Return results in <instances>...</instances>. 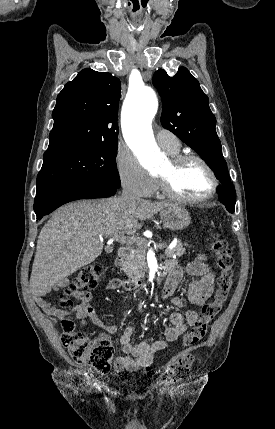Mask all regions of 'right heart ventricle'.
I'll return each mask as SVG.
<instances>
[{
	"label": "right heart ventricle",
	"mask_w": 275,
	"mask_h": 429,
	"mask_svg": "<svg viewBox=\"0 0 275 429\" xmlns=\"http://www.w3.org/2000/svg\"><path fill=\"white\" fill-rule=\"evenodd\" d=\"M169 154H171L172 156L173 155H176V154H178V151H174V152H168Z\"/></svg>",
	"instance_id": "e07e8e85"
}]
</instances>
